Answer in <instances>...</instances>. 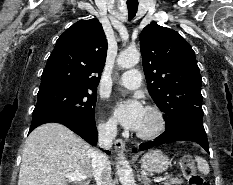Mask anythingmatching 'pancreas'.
<instances>
[{"instance_id": "1", "label": "pancreas", "mask_w": 233, "mask_h": 185, "mask_svg": "<svg viewBox=\"0 0 233 185\" xmlns=\"http://www.w3.org/2000/svg\"><path fill=\"white\" fill-rule=\"evenodd\" d=\"M167 178H168V180H166L163 183V185H180L183 183V179L180 178V176H177V177L168 176Z\"/></svg>"}]
</instances>
